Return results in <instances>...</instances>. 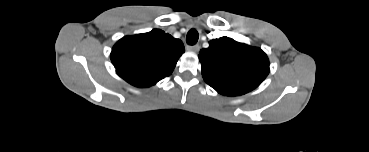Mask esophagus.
Listing matches in <instances>:
<instances>
[{
    "label": "esophagus",
    "mask_w": 369,
    "mask_h": 152,
    "mask_svg": "<svg viewBox=\"0 0 369 152\" xmlns=\"http://www.w3.org/2000/svg\"><path fill=\"white\" fill-rule=\"evenodd\" d=\"M187 50L193 51V52H198L200 50V45L196 44V45H192V46H187Z\"/></svg>",
    "instance_id": "34e87169"
}]
</instances>
